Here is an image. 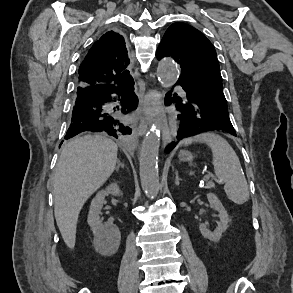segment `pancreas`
<instances>
[{
  "label": "pancreas",
  "instance_id": "pancreas-1",
  "mask_svg": "<svg viewBox=\"0 0 293 293\" xmlns=\"http://www.w3.org/2000/svg\"><path fill=\"white\" fill-rule=\"evenodd\" d=\"M205 188H206V189H212V188H215V185H214L213 182H209V183L206 185Z\"/></svg>",
  "mask_w": 293,
  "mask_h": 293
}]
</instances>
